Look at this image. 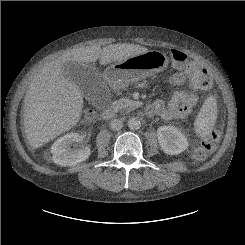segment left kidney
I'll use <instances>...</instances> for the list:
<instances>
[{"mask_svg": "<svg viewBox=\"0 0 245 245\" xmlns=\"http://www.w3.org/2000/svg\"><path fill=\"white\" fill-rule=\"evenodd\" d=\"M157 137L161 150L169 155H178L188 148V141L184 134L173 126H160Z\"/></svg>", "mask_w": 245, "mask_h": 245, "instance_id": "5707ae66", "label": "left kidney"}]
</instances>
